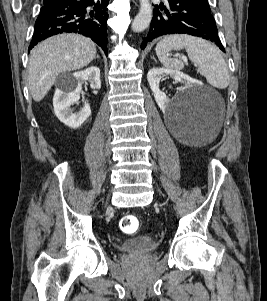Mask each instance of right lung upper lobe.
<instances>
[{
    "mask_svg": "<svg viewBox=\"0 0 267 301\" xmlns=\"http://www.w3.org/2000/svg\"><path fill=\"white\" fill-rule=\"evenodd\" d=\"M55 1H57V0H44V5H46V4H50V3H53V2H55Z\"/></svg>",
    "mask_w": 267,
    "mask_h": 301,
    "instance_id": "right-lung-upper-lobe-1",
    "label": "right lung upper lobe"
}]
</instances>
